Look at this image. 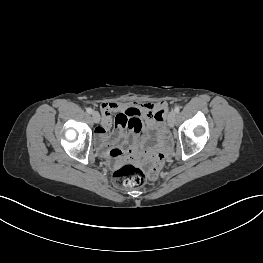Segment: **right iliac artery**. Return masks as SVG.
<instances>
[{
  "instance_id": "right-iliac-artery-1",
  "label": "right iliac artery",
  "mask_w": 263,
  "mask_h": 263,
  "mask_svg": "<svg viewBox=\"0 0 263 263\" xmlns=\"http://www.w3.org/2000/svg\"><path fill=\"white\" fill-rule=\"evenodd\" d=\"M87 113L91 114L93 112V110L91 108H87Z\"/></svg>"
}]
</instances>
